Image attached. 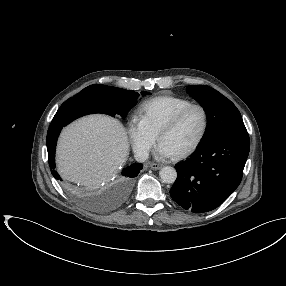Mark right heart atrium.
<instances>
[{
	"label": "right heart atrium",
	"instance_id": "obj_1",
	"mask_svg": "<svg viewBox=\"0 0 286 286\" xmlns=\"http://www.w3.org/2000/svg\"><path fill=\"white\" fill-rule=\"evenodd\" d=\"M129 137L135 152L146 156L152 149L156 135L146 126L140 116H133L128 125Z\"/></svg>",
	"mask_w": 286,
	"mask_h": 286
}]
</instances>
